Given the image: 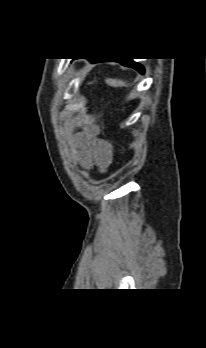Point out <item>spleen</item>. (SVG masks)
Instances as JSON below:
<instances>
[{
	"label": "spleen",
	"mask_w": 206,
	"mask_h": 348,
	"mask_svg": "<svg viewBox=\"0 0 206 348\" xmlns=\"http://www.w3.org/2000/svg\"><path fill=\"white\" fill-rule=\"evenodd\" d=\"M106 83L112 87H128L126 82L117 79H106Z\"/></svg>",
	"instance_id": "obj_1"
}]
</instances>
